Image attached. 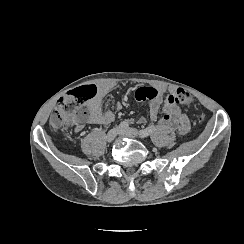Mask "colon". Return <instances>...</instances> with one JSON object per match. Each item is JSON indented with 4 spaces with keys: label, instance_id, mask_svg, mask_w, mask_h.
I'll use <instances>...</instances> for the list:
<instances>
[{
    "label": "colon",
    "instance_id": "obj_1",
    "mask_svg": "<svg viewBox=\"0 0 244 244\" xmlns=\"http://www.w3.org/2000/svg\"><path fill=\"white\" fill-rule=\"evenodd\" d=\"M98 93L95 85L83 84L75 88L68 96L59 99L50 118V125L55 129H61L69 125L77 124L88 110V103L84 99H90ZM169 101L177 105H190L193 102L192 95L183 88H178L170 95ZM205 121L203 113L195 116V122L201 124Z\"/></svg>",
    "mask_w": 244,
    "mask_h": 244
}]
</instances>
